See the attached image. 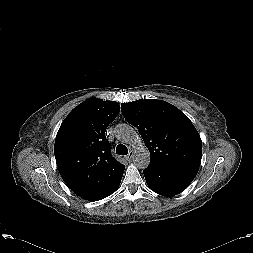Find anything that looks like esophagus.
Here are the masks:
<instances>
[{
    "instance_id": "obj_1",
    "label": "esophagus",
    "mask_w": 253,
    "mask_h": 253,
    "mask_svg": "<svg viewBox=\"0 0 253 253\" xmlns=\"http://www.w3.org/2000/svg\"><path fill=\"white\" fill-rule=\"evenodd\" d=\"M133 156H134V152L131 150V151H129V153L126 156V158H127V160H132Z\"/></svg>"
}]
</instances>
